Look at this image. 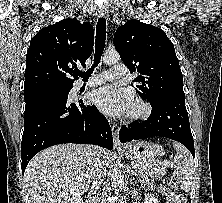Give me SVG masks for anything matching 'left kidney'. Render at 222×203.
<instances>
[{
    "mask_svg": "<svg viewBox=\"0 0 222 203\" xmlns=\"http://www.w3.org/2000/svg\"><path fill=\"white\" fill-rule=\"evenodd\" d=\"M144 203H158V200L152 194H145Z\"/></svg>",
    "mask_w": 222,
    "mask_h": 203,
    "instance_id": "obj_1",
    "label": "left kidney"
}]
</instances>
